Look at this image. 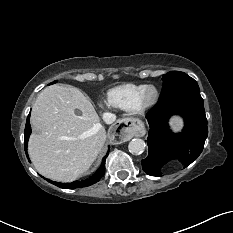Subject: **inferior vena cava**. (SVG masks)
<instances>
[{
  "mask_svg": "<svg viewBox=\"0 0 233 233\" xmlns=\"http://www.w3.org/2000/svg\"><path fill=\"white\" fill-rule=\"evenodd\" d=\"M102 118L106 124H112L116 120V115L112 113H104Z\"/></svg>",
  "mask_w": 233,
  "mask_h": 233,
  "instance_id": "1",
  "label": "inferior vena cava"
}]
</instances>
